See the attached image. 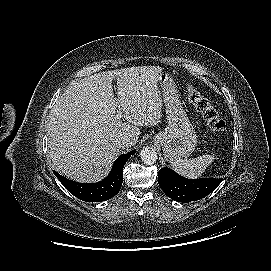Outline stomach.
I'll return each mask as SVG.
<instances>
[{"label":"stomach","instance_id":"0dacf381","mask_svg":"<svg viewBox=\"0 0 271 271\" xmlns=\"http://www.w3.org/2000/svg\"><path fill=\"white\" fill-rule=\"evenodd\" d=\"M159 84L165 106L167 126L163 132L156 134L153 141L164 151V158L168 162L186 158L197 146V134L188 118L184 103L174 82L173 76L162 71Z\"/></svg>","mask_w":271,"mask_h":271}]
</instances>
